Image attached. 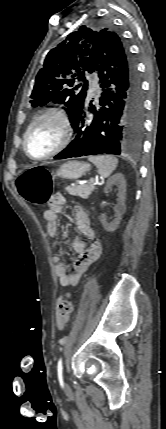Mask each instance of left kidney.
Wrapping results in <instances>:
<instances>
[{
	"instance_id": "obj_1",
	"label": "left kidney",
	"mask_w": 166,
	"mask_h": 429,
	"mask_svg": "<svg viewBox=\"0 0 166 429\" xmlns=\"http://www.w3.org/2000/svg\"><path fill=\"white\" fill-rule=\"evenodd\" d=\"M113 185H117L118 187V204L115 206V218L112 222H107L104 214L100 216V221L102 223L103 228L107 232H113L117 229L122 215L126 210L125 199H126V181L121 173L114 174L107 180V184L104 188V192L107 193Z\"/></svg>"
}]
</instances>
